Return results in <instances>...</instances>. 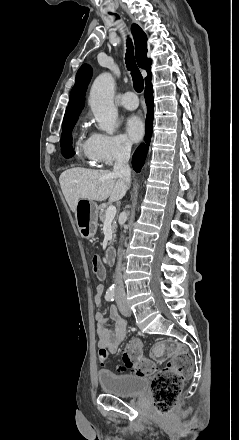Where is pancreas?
<instances>
[{"mask_svg": "<svg viewBox=\"0 0 239 440\" xmlns=\"http://www.w3.org/2000/svg\"><path fill=\"white\" fill-rule=\"evenodd\" d=\"M106 212H107L106 208H100V212H99L100 222H105ZM111 228H112V232H113V238H112V240H110L109 244H112V242H114V240L116 238L115 232H116L117 224H116L115 220H113Z\"/></svg>", "mask_w": 239, "mask_h": 440, "instance_id": "cf45deb5", "label": "pancreas"}]
</instances>
